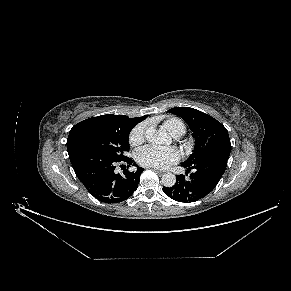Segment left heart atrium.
<instances>
[{
  "label": "left heart atrium",
  "mask_w": 291,
  "mask_h": 291,
  "mask_svg": "<svg viewBox=\"0 0 291 291\" xmlns=\"http://www.w3.org/2000/svg\"><path fill=\"white\" fill-rule=\"evenodd\" d=\"M179 158L178 152L173 148H160L145 146L141 148L136 156L139 164L154 168H167Z\"/></svg>",
  "instance_id": "obj_1"
}]
</instances>
